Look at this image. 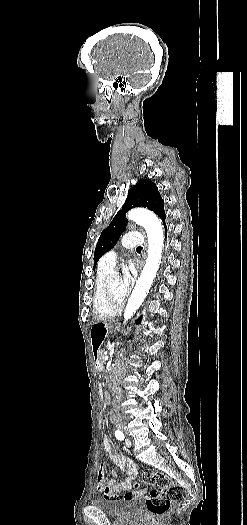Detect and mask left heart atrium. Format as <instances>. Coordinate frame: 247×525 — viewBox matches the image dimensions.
Masks as SVG:
<instances>
[{
  "mask_svg": "<svg viewBox=\"0 0 247 525\" xmlns=\"http://www.w3.org/2000/svg\"><path fill=\"white\" fill-rule=\"evenodd\" d=\"M130 259L135 262L136 261V255H131ZM133 271L134 269H124L123 270V277L120 281L118 291H117V297L119 299H123L125 296L128 295V293L131 290V287L133 285Z\"/></svg>",
  "mask_w": 247,
  "mask_h": 525,
  "instance_id": "left-heart-atrium-1",
  "label": "left heart atrium"
}]
</instances>
